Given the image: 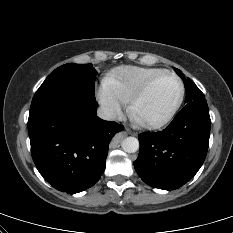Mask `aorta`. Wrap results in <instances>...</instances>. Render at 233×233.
Returning <instances> with one entry per match:
<instances>
[{"instance_id":"aorta-1","label":"aorta","mask_w":233,"mask_h":233,"mask_svg":"<svg viewBox=\"0 0 233 233\" xmlns=\"http://www.w3.org/2000/svg\"><path fill=\"white\" fill-rule=\"evenodd\" d=\"M121 147L127 153H135L139 149V141L135 137H127L123 139Z\"/></svg>"}]
</instances>
